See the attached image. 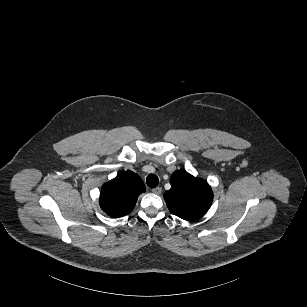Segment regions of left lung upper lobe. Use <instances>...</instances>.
<instances>
[{"instance_id": "5c2ea615", "label": "left lung upper lobe", "mask_w": 307, "mask_h": 307, "mask_svg": "<svg viewBox=\"0 0 307 307\" xmlns=\"http://www.w3.org/2000/svg\"><path fill=\"white\" fill-rule=\"evenodd\" d=\"M171 189L164 199L170 212L184 220L202 217L210 208L213 192L208 183L185 170L175 171L170 179Z\"/></svg>"}]
</instances>
